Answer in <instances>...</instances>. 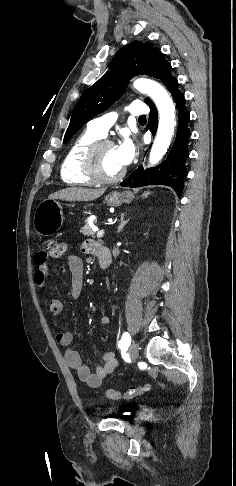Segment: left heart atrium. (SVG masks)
<instances>
[{"label":"left heart atrium","instance_id":"39dd6f15","mask_svg":"<svg viewBox=\"0 0 236 486\" xmlns=\"http://www.w3.org/2000/svg\"><path fill=\"white\" fill-rule=\"evenodd\" d=\"M116 154L122 167H125L135 157L136 149L132 141L125 138L118 146H116Z\"/></svg>","mask_w":236,"mask_h":486}]
</instances>
